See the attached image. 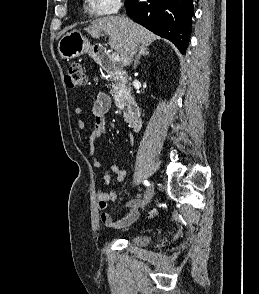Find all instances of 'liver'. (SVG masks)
<instances>
[{"label": "liver", "mask_w": 259, "mask_h": 294, "mask_svg": "<svg viewBox=\"0 0 259 294\" xmlns=\"http://www.w3.org/2000/svg\"><path fill=\"white\" fill-rule=\"evenodd\" d=\"M92 37L98 38L105 34L109 36V46L120 55L121 63L127 66L130 63V44L150 45L157 36L128 18L107 16L91 22L85 29Z\"/></svg>", "instance_id": "6515ba94"}]
</instances>
